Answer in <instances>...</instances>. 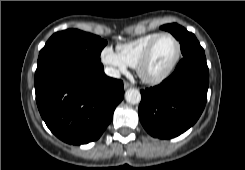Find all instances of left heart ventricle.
Listing matches in <instances>:
<instances>
[{"label": "left heart ventricle", "mask_w": 245, "mask_h": 170, "mask_svg": "<svg viewBox=\"0 0 245 170\" xmlns=\"http://www.w3.org/2000/svg\"><path fill=\"white\" fill-rule=\"evenodd\" d=\"M176 53V45L172 38L162 37L155 45L152 54L145 65V72L158 75L172 62Z\"/></svg>", "instance_id": "1"}]
</instances>
